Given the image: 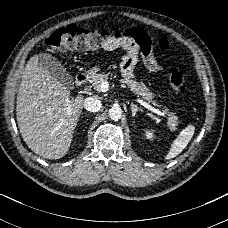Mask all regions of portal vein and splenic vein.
Returning a JSON list of instances; mask_svg holds the SVG:
<instances>
[{
  "instance_id": "portal-vein-and-splenic-vein-1",
  "label": "portal vein and splenic vein",
  "mask_w": 228,
  "mask_h": 228,
  "mask_svg": "<svg viewBox=\"0 0 228 228\" xmlns=\"http://www.w3.org/2000/svg\"><path fill=\"white\" fill-rule=\"evenodd\" d=\"M123 86V85H121ZM111 88V85L107 82V81H103L100 83V88H99V92L100 93H105L107 91H109ZM135 100L143 105L144 107L148 108L149 110H152L154 112H156L159 116H161L162 118H166L167 117V114L164 113L163 111H161L160 109H155L153 107H151L150 105H148L145 101H143L142 99L136 97ZM71 112V109L69 111H67V114L69 115Z\"/></svg>"
}]
</instances>
